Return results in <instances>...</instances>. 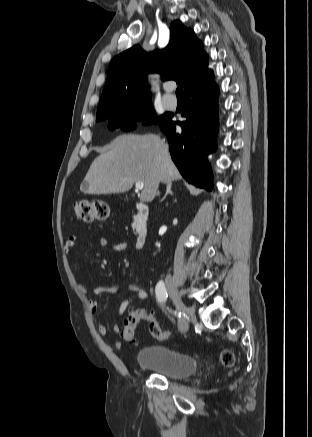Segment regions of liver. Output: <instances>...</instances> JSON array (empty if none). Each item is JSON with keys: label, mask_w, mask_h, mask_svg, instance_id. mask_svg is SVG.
Instances as JSON below:
<instances>
[{"label": "liver", "mask_w": 312, "mask_h": 437, "mask_svg": "<svg viewBox=\"0 0 312 437\" xmlns=\"http://www.w3.org/2000/svg\"><path fill=\"white\" fill-rule=\"evenodd\" d=\"M180 179L164 140L155 134H124L115 138L111 150L92 162L81 190L88 194L122 193L141 181L144 187L139 199L151 202L160 182L171 184Z\"/></svg>", "instance_id": "1"}]
</instances>
